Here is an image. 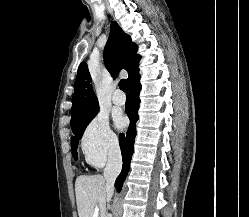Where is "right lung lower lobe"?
<instances>
[{"label": "right lung lower lobe", "instance_id": "1", "mask_svg": "<svg viewBox=\"0 0 249 217\" xmlns=\"http://www.w3.org/2000/svg\"><path fill=\"white\" fill-rule=\"evenodd\" d=\"M139 71L129 81V94L125 104L126 113L130 119V125L126 134H120L119 143L123 158V168L120 175L115 181V187L119 192L122 188L123 182L127 176L130 167V160L133 154L134 139L136 136V122L138 120L139 109V92L141 90V84L139 82Z\"/></svg>", "mask_w": 249, "mask_h": 217}]
</instances>
